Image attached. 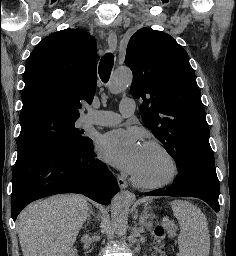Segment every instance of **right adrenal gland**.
<instances>
[{
    "label": "right adrenal gland",
    "mask_w": 236,
    "mask_h": 256,
    "mask_svg": "<svg viewBox=\"0 0 236 256\" xmlns=\"http://www.w3.org/2000/svg\"><path fill=\"white\" fill-rule=\"evenodd\" d=\"M91 216H95V214L92 210V206H90V212H89V216L87 218V224H89V220H91Z\"/></svg>",
    "instance_id": "right-adrenal-gland-1"
}]
</instances>
